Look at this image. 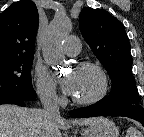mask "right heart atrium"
Masks as SVG:
<instances>
[{
  "label": "right heart atrium",
  "instance_id": "right-heart-atrium-1",
  "mask_svg": "<svg viewBox=\"0 0 144 137\" xmlns=\"http://www.w3.org/2000/svg\"><path fill=\"white\" fill-rule=\"evenodd\" d=\"M31 75L37 95L44 104L54 106L60 103L56 80L46 67L35 64Z\"/></svg>",
  "mask_w": 144,
  "mask_h": 137
}]
</instances>
